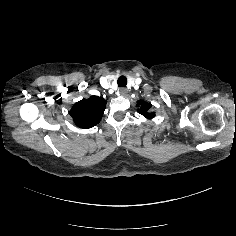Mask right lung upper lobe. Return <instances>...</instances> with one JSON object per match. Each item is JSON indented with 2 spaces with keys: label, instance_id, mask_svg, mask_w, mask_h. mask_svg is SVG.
Here are the masks:
<instances>
[{
  "label": "right lung upper lobe",
  "instance_id": "obj_1",
  "mask_svg": "<svg viewBox=\"0 0 236 236\" xmlns=\"http://www.w3.org/2000/svg\"><path fill=\"white\" fill-rule=\"evenodd\" d=\"M107 101L102 97L91 96L75 103L70 110L74 123L83 129H88L98 124L102 118Z\"/></svg>",
  "mask_w": 236,
  "mask_h": 236
}]
</instances>
